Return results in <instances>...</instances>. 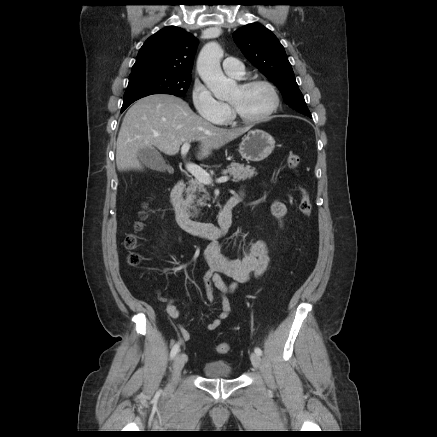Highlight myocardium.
I'll return each instance as SVG.
<instances>
[{"label":"myocardium","mask_w":437,"mask_h":437,"mask_svg":"<svg viewBox=\"0 0 437 437\" xmlns=\"http://www.w3.org/2000/svg\"><path fill=\"white\" fill-rule=\"evenodd\" d=\"M264 86L268 88L272 95V103L269 109L260 116L257 117H245L239 113L233 103L229 102L231 108V114L234 120L244 124H258L269 119L278 109L280 103V97L276 87L269 81L264 79H250L242 82L239 86L243 89H247L253 86Z\"/></svg>","instance_id":"obj_1"}]
</instances>
